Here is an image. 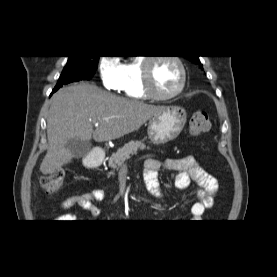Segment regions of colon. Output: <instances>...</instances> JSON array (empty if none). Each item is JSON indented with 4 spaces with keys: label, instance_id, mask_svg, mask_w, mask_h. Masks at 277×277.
Returning a JSON list of instances; mask_svg holds the SVG:
<instances>
[{
    "label": "colon",
    "instance_id": "colon-1",
    "mask_svg": "<svg viewBox=\"0 0 277 277\" xmlns=\"http://www.w3.org/2000/svg\"><path fill=\"white\" fill-rule=\"evenodd\" d=\"M211 129V122L208 114L204 111L195 112L189 121V132L194 137L207 134ZM65 173L62 169H56L49 175L43 176L40 180L41 188L47 193L58 191L64 183Z\"/></svg>",
    "mask_w": 277,
    "mask_h": 277
}]
</instances>
